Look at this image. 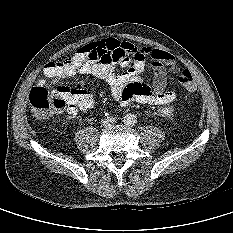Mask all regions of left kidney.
Here are the masks:
<instances>
[{"label":"left kidney","instance_id":"left-kidney-1","mask_svg":"<svg viewBox=\"0 0 233 233\" xmlns=\"http://www.w3.org/2000/svg\"><path fill=\"white\" fill-rule=\"evenodd\" d=\"M160 112L165 115V116H169L172 114V109L170 107H163Z\"/></svg>","mask_w":233,"mask_h":233}]
</instances>
